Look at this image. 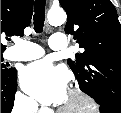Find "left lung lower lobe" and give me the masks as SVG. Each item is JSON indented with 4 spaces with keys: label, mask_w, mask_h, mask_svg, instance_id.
Instances as JSON below:
<instances>
[{
    "label": "left lung lower lobe",
    "mask_w": 121,
    "mask_h": 113,
    "mask_svg": "<svg viewBox=\"0 0 121 113\" xmlns=\"http://www.w3.org/2000/svg\"><path fill=\"white\" fill-rule=\"evenodd\" d=\"M102 105V113H121V107L109 104V103H100Z\"/></svg>",
    "instance_id": "1"
}]
</instances>
